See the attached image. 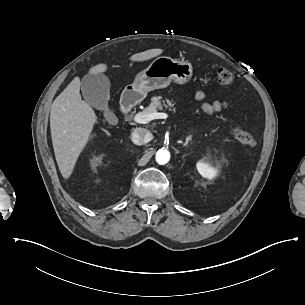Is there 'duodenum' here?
I'll return each instance as SVG.
<instances>
[{
	"mask_svg": "<svg viewBox=\"0 0 305 305\" xmlns=\"http://www.w3.org/2000/svg\"><path fill=\"white\" fill-rule=\"evenodd\" d=\"M139 94L137 92L125 93L121 99V108L125 115H129L133 106L138 102Z\"/></svg>",
	"mask_w": 305,
	"mask_h": 305,
	"instance_id": "obj_1",
	"label": "duodenum"
}]
</instances>
